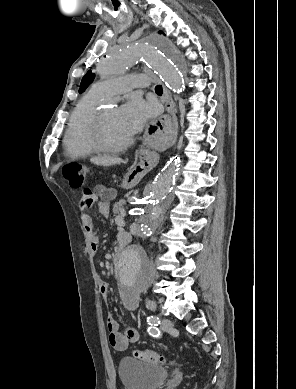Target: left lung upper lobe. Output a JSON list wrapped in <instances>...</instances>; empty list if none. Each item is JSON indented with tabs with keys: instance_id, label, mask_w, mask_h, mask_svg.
I'll use <instances>...</instances> for the list:
<instances>
[{
	"instance_id": "5c2ea615",
	"label": "left lung upper lobe",
	"mask_w": 296,
	"mask_h": 389,
	"mask_svg": "<svg viewBox=\"0 0 296 389\" xmlns=\"http://www.w3.org/2000/svg\"><path fill=\"white\" fill-rule=\"evenodd\" d=\"M94 77L95 74L92 73L91 70L86 73V75L82 78L79 93H82L88 87V85L93 81Z\"/></svg>"
}]
</instances>
